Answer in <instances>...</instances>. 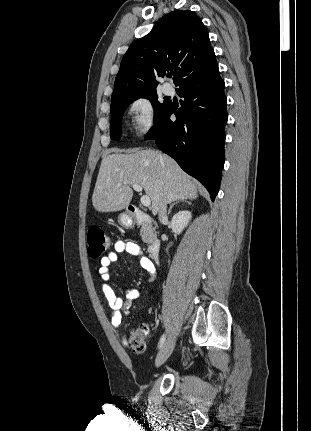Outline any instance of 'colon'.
<instances>
[{
    "mask_svg": "<svg viewBox=\"0 0 311 431\" xmlns=\"http://www.w3.org/2000/svg\"><path fill=\"white\" fill-rule=\"evenodd\" d=\"M88 255L92 259H98L111 247L110 237L100 228H93L88 232ZM148 327L139 325L132 329L127 346L137 354L146 351Z\"/></svg>",
    "mask_w": 311,
    "mask_h": 431,
    "instance_id": "colon-1",
    "label": "colon"
}]
</instances>
